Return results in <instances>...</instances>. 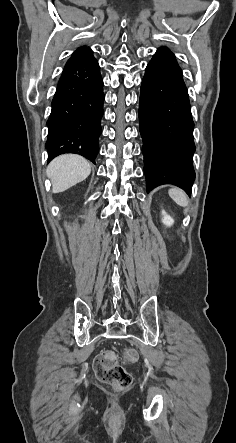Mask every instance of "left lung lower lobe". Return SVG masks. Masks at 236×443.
<instances>
[{
	"label": "left lung lower lobe",
	"mask_w": 236,
	"mask_h": 443,
	"mask_svg": "<svg viewBox=\"0 0 236 443\" xmlns=\"http://www.w3.org/2000/svg\"><path fill=\"white\" fill-rule=\"evenodd\" d=\"M139 121L147 191L173 184L190 196L194 122L182 70L166 47L159 48L146 67Z\"/></svg>",
	"instance_id": "left-lung-lower-lobe-1"
}]
</instances>
